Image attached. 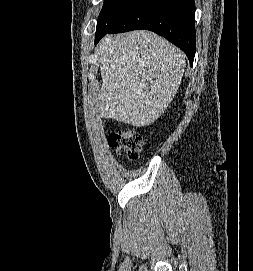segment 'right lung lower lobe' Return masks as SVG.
<instances>
[{
    "instance_id": "98d812e1",
    "label": "right lung lower lobe",
    "mask_w": 253,
    "mask_h": 271,
    "mask_svg": "<svg viewBox=\"0 0 253 271\" xmlns=\"http://www.w3.org/2000/svg\"><path fill=\"white\" fill-rule=\"evenodd\" d=\"M194 0H134L107 31L97 32L95 44L110 33L150 30L182 49L192 66L195 56Z\"/></svg>"
}]
</instances>
